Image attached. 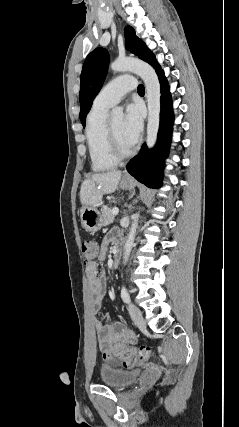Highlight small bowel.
I'll return each instance as SVG.
<instances>
[{
  "mask_svg": "<svg viewBox=\"0 0 239 427\" xmlns=\"http://www.w3.org/2000/svg\"><path fill=\"white\" fill-rule=\"evenodd\" d=\"M120 243V234L118 231H111L103 240L99 259H103L109 244ZM86 275L88 279L89 291V309L92 315L96 316L102 305V299L105 289V276L99 274L95 262H90L86 265ZM97 342L102 353L103 359L106 362L114 361L113 347L117 344H133L135 342V334L122 322H114L107 324L100 319L94 320Z\"/></svg>",
  "mask_w": 239,
  "mask_h": 427,
  "instance_id": "obj_1",
  "label": "small bowel"
}]
</instances>
